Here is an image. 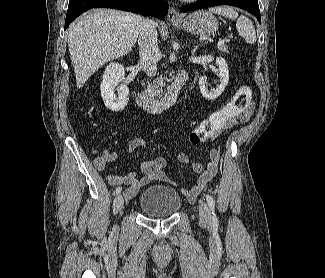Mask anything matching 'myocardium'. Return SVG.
Masks as SVG:
<instances>
[{
    "label": "myocardium",
    "instance_id": "f54148a6",
    "mask_svg": "<svg viewBox=\"0 0 325 278\" xmlns=\"http://www.w3.org/2000/svg\"><path fill=\"white\" fill-rule=\"evenodd\" d=\"M184 1H187V2H193V1H197V0H184Z\"/></svg>",
    "mask_w": 325,
    "mask_h": 278
}]
</instances>
